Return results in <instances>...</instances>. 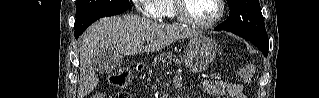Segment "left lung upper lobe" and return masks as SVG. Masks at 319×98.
<instances>
[{
	"instance_id": "1",
	"label": "left lung upper lobe",
	"mask_w": 319,
	"mask_h": 98,
	"mask_svg": "<svg viewBox=\"0 0 319 98\" xmlns=\"http://www.w3.org/2000/svg\"><path fill=\"white\" fill-rule=\"evenodd\" d=\"M230 14L219 26L249 41L269 43L259 0H227Z\"/></svg>"
}]
</instances>
